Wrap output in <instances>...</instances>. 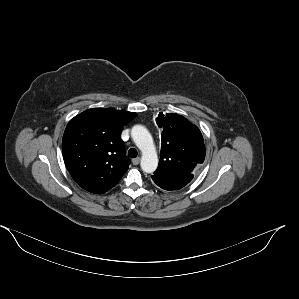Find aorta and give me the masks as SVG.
<instances>
[{"instance_id":"762f6f07","label":"aorta","mask_w":299,"mask_h":299,"mask_svg":"<svg viewBox=\"0 0 299 299\" xmlns=\"http://www.w3.org/2000/svg\"><path fill=\"white\" fill-rule=\"evenodd\" d=\"M131 136L142 152L140 164L142 170L146 173H153L158 166V156L151 134L144 126L135 125L131 130Z\"/></svg>"}]
</instances>
